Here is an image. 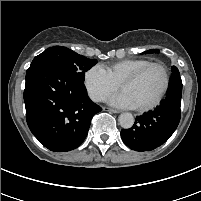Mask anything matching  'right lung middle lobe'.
Listing matches in <instances>:
<instances>
[{
	"mask_svg": "<svg viewBox=\"0 0 201 201\" xmlns=\"http://www.w3.org/2000/svg\"><path fill=\"white\" fill-rule=\"evenodd\" d=\"M38 63H51L53 65L63 66L74 72L83 83L85 72L95 65L97 60L87 59L66 47L54 46L36 56L31 65Z\"/></svg>",
	"mask_w": 201,
	"mask_h": 201,
	"instance_id": "right-lung-middle-lobe-1",
	"label": "right lung middle lobe"
}]
</instances>
